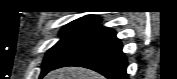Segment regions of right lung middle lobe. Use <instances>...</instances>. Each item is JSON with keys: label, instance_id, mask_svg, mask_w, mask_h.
<instances>
[{"label": "right lung middle lobe", "instance_id": "1", "mask_svg": "<svg viewBox=\"0 0 177 79\" xmlns=\"http://www.w3.org/2000/svg\"><path fill=\"white\" fill-rule=\"evenodd\" d=\"M99 18L76 20L67 24L60 32L61 40L46 54L40 77L44 76L69 52L80 45L99 26Z\"/></svg>", "mask_w": 177, "mask_h": 79}]
</instances>
